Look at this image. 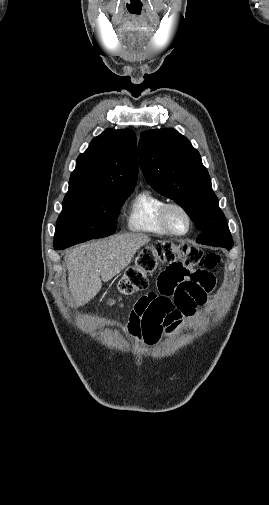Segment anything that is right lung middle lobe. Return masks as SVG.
I'll list each match as a JSON object with an SVG mask.
<instances>
[{
	"label": "right lung middle lobe",
	"instance_id": "dd1d6c3e",
	"mask_svg": "<svg viewBox=\"0 0 269 505\" xmlns=\"http://www.w3.org/2000/svg\"><path fill=\"white\" fill-rule=\"evenodd\" d=\"M132 192H68L58 217L54 248L72 245L113 234L120 208Z\"/></svg>",
	"mask_w": 269,
	"mask_h": 505
}]
</instances>
